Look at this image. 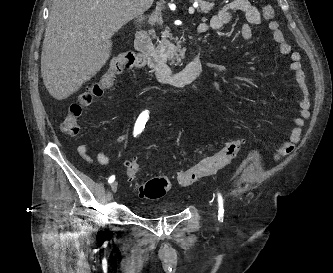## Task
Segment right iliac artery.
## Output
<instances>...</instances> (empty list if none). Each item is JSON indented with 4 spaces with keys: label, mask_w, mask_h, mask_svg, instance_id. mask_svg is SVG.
<instances>
[{
    "label": "right iliac artery",
    "mask_w": 333,
    "mask_h": 273,
    "mask_svg": "<svg viewBox=\"0 0 333 273\" xmlns=\"http://www.w3.org/2000/svg\"><path fill=\"white\" fill-rule=\"evenodd\" d=\"M148 118H149L148 110L143 111L139 115V117L135 123V126H134V131H133L134 137H136L138 134H140L143 131V129L145 128V124L148 121ZM114 180H115V176L112 175L111 177H109L108 182L112 183Z\"/></svg>",
    "instance_id": "right-iliac-artery-1"
}]
</instances>
